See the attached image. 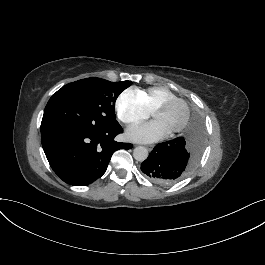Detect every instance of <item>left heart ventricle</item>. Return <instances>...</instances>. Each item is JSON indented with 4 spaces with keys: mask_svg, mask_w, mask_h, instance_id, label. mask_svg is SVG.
Wrapping results in <instances>:
<instances>
[{
    "mask_svg": "<svg viewBox=\"0 0 265 265\" xmlns=\"http://www.w3.org/2000/svg\"><path fill=\"white\" fill-rule=\"evenodd\" d=\"M183 116V108L178 102L158 110L153 116L154 121L159 122L167 131L175 126Z\"/></svg>",
    "mask_w": 265,
    "mask_h": 265,
    "instance_id": "b2bd125f",
    "label": "left heart ventricle"
}]
</instances>
